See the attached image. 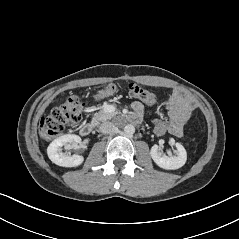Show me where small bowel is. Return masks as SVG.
<instances>
[{
	"mask_svg": "<svg viewBox=\"0 0 239 239\" xmlns=\"http://www.w3.org/2000/svg\"><path fill=\"white\" fill-rule=\"evenodd\" d=\"M168 115L170 117V130L168 133L180 137L183 135L184 125L189 120L193 104L189 96L180 91H174L167 101ZM132 119L139 121L143 114V105L139 101L132 103Z\"/></svg>",
	"mask_w": 239,
	"mask_h": 239,
	"instance_id": "small-bowel-1",
	"label": "small bowel"
}]
</instances>
